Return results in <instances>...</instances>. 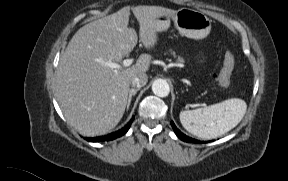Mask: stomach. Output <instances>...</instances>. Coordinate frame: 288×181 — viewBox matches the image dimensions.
I'll use <instances>...</instances> for the list:
<instances>
[{"mask_svg": "<svg viewBox=\"0 0 288 181\" xmlns=\"http://www.w3.org/2000/svg\"><path fill=\"white\" fill-rule=\"evenodd\" d=\"M155 20L158 23L159 32L166 30L172 20L182 35L197 40L207 37L211 31L210 19L202 12L189 8H181L174 14L164 11L157 15Z\"/></svg>", "mask_w": 288, "mask_h": 181, "instance_id": "obj_1", "label": "stomach"}]
</instances>
